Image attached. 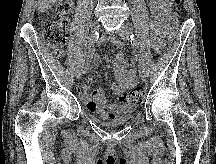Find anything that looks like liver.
Masks as SVG:
<instances>
[{
    "label": "liver",
    "instance_id": "liver-1",
    "mask_svg": "<svg viewBox=\"0 0 216 164\" xmlns=\"http://www.w3.org/2000/svg\"><path fill=\"white\" fill-rule=\"evenodd\" d=\"M58 0H39L38 1V11L43 13L52 7Z\"/></svg>",
    "mask_w": 216,
    "mask_h": 164
}]
</instances>
